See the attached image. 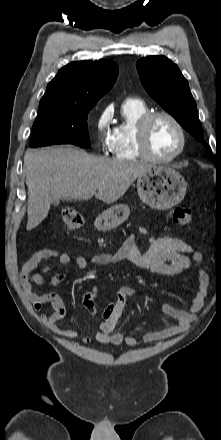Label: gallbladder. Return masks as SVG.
<instances>
[{
  "instance_id": "1",
  "label": "gallbladder",
  "mask_w": 221,
  "mask_h": 440,
  "mask_svg": "<svg viewBox=\"0 0 221 440\" xmlns=\"http://www.w3.org/2000/svg\"><path fill=\"white\" fill-rule=\"evenodd\" d=\"M58 204H59V200H56V201L53 202L54 206H57Z\"/></svg>"
}]
</instances>
